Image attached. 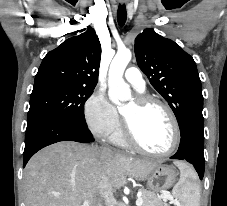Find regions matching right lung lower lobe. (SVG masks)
<instances>
[{
  "mask_svg": "<svg viewBox=\"0 0 227 206\" xmlns=\"http://www.w3.org/2000/svg\"><path fill=\"white\" fill-rule=\"evenodd\" d=\"M60 141L93 142L84 124L69 119L41 117L27 124L23 167L40 149Z\"/></svg>",
  "mask_w": 227,
  "mask_h": 206,
  "instance_id": "right-lung-lower-lobe-1",
  "label": "right lung lower lobe"
}]
</instances>
